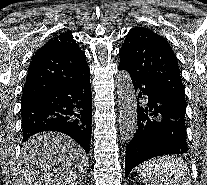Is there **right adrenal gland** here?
I'll return each mask as SVG.
<instances>
[{
  "label": "right adrenal gland",
  "mask_w": 207,
  "mask_h": 185,
  "mask_svg": "<svg viewBox=\"0 0 207 185\" xmlns=\"http://www.w3.org/2000/svg\"><path fill=\"white\" fill-rule=\"evenodd\" d=\"M80 185H86V181H82V183H80Z\"/></svg>",
  "instance_id": "right-adrenal-gland-1"
}]
</instances>
